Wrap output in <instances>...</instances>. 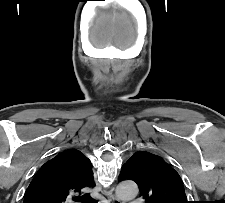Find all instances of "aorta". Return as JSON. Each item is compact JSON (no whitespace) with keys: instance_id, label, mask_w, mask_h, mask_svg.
<instances>
[{"instance_id":"aorta-1","label":"aorta","mask_w":225,"mask_h":203,"mask_svg":"<svg viewBox=\"0 0 225 203\" xmlns=\"http://www.w3.org/2000/svg\"><path fill=\"white\" fill-rule=\"evenodd\" d=\"M138 194V187L133 181H124L118 184L116 188V195L121 200H130Z\"/></svg>"}]
</instances>
